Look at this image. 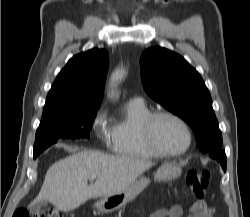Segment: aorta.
<instances>
[{"mask_svg": "<svg viewBox=\"0 0 250 217\" xmlns=\"http://www.w3.org/2000/svg\"><path fill=\"white\" fill-rule=\"evenodd\" d=\"M126 76V71L124 68L116 69L110 78V86L114 88L117 84Z\"/></svg>", "mask_w": 250, "mask_h": 217, "instance_id": "aorta-1", "label": "aorta"}]
</instances>
